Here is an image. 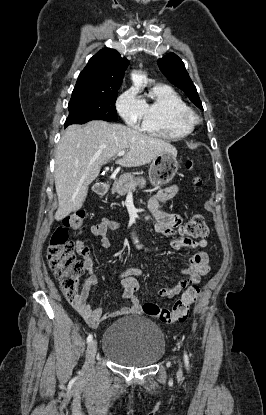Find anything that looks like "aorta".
I'll use <instances>...</instances> for the list:
<instances>
[{"label": "aorta", "instance_id": "1", "mask_svg": "<svg viewBox=\"0 0 266 415\" xmlns=\"http://www.w3.org/2000/svg\"><path fill=\"white\" fill-rule=\"evenodd\" d=\"M131 78L134 84H141L143 81L142 76H140L139 74H137L136 72H133L131 74Z\"/></svg>", "mask_w": 266, "mask_h": 415}]
</instances>
